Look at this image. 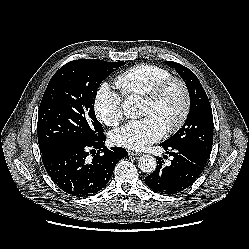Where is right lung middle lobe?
I'll use <instances>...</instances> for the list:
<instances>
[{
  "mask_svg": "<svg viewBox=\"0 0 249 249\" xmlns=\"http://www.w3.org/2000/svg\"><path fill=\"white\" fill-rule=\"evenodd\" d=\"M125 62L80 59L68 62L51 78L38 112V143L42 154L61 146L103 135L94 112L98 86Z\"/></svg>",
  "mask_w": 249,
  "mask_h": 249,
  "instance_id": "dd1d6c3e",
  "label": "right lung middle lobe"
}]
</instances>
